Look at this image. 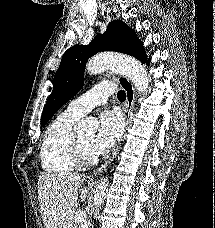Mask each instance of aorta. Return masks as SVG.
I'll return each mask as SVG.
<instances>
[{
	"instance_id": "1",
	"label": "aorta",
	"mask_w": 215,
	"mask_h": 228,
	"mask_svg": "<svg viewBox=\"0 0 215 228\" xmlns=\"http://www.w3.org/2000/svg\"><path fill=\"white\" fill-rule=\"evenodd\" d=\"M111 68H120L125 76L130 78L133 82L138 94L141 96H147L149 88V78L145 68H143L140 62L132 60V58H119V56H114V54H98L92 60H89L86 64V70L88 74H99V72H104V70H111ZM79 128H82L81 124ZM108 180L104 178L99 182L95 192H94V218H98L99 210L105 200V192L107 190Z\"/></svg>"
}]
</instances>
